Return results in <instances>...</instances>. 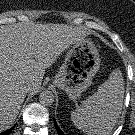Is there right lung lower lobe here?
<instances>
[{
    "instance_id": "obj_1",
    "label": "right lung lower lobe",
    "mask_w": 135,
    "mask_h": 135,
    "mask_svg": "<svg viewBox=\"0 0 135 135\" xmlns=\"http://www.w3.org/2000/svg\"><path fill=\"white\" fill-rule=\"evenodd\" d=\"M14 127H12L11 129L3 132V133H0V135H9L11 133V131L13 130Z\"/></svg>"
}]
</instances>
